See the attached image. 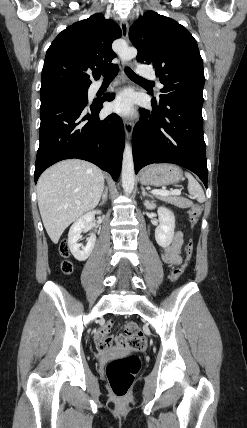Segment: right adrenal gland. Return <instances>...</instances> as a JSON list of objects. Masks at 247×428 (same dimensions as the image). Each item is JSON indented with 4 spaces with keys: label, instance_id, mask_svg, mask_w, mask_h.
Returning <instances> with one entry per match:
<instances>
[{
    "label": "right adrenal gland",
    "instance_id": "1",
    "mask_svg": "<svg viewBox=\"0 0 247 428\" xmlns=\"http://www.w3.org/2000/svg\"><path fill=\"white\" fill-rule=\"evenodd\" d=\"M107 198H108V187H105V191H104V194L102 195V200L100 202V205H103L107 201Z\"/></svg>",
    "mask_w": 247,
    "mask_h": 428
}]
</instances>
